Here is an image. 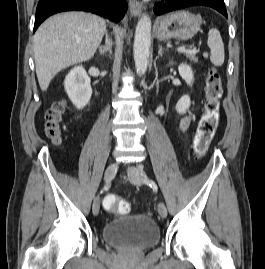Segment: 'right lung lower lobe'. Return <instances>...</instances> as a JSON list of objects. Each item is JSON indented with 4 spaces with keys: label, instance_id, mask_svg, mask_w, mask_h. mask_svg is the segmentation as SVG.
<instances>
[{
    "label": "right lung lower lobe",
    "instance_id": "1",
    "mask_svg": "<svg viewBox=\"0 0 265 269\" xmlns=\"http://www.w3.org/2000/svg\"><path fill=\"white\" fill-rule=\"evenodd\" d=\"M72 10L92 12L117 22L126 13L127 3L125 0H39L34 31L47 17Z\"/></svg>",
    "mask_w": 265,
    "mask_h": 269
}]
</instances>
